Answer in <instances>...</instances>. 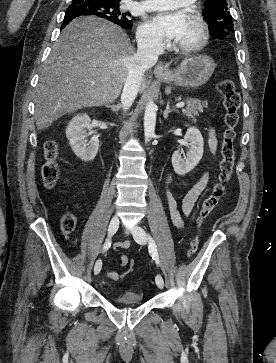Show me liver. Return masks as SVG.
<instances>
[{"label":"liver","mask_w":276,"mask_h":363,"mask_svg":"<svg viewBox=\"0 0 276 363\" xmlns=\"http://www.w3.org/2000/svg\"><path fill=\"white\" fill-rule=\"evenodd\" d=\"M135 54L124 31L114 23L82 16L67 25L40 71L36 87V126L81 108L104 106L120 95ZM142 78L141 89L145 87Z\"/></svg>","instance_id":"6515ba94"}]
</instances>
